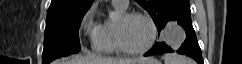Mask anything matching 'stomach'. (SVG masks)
Listing matches in <instances>:
<instances>
[{
  "label": "stomach",
  "instance_id": "stomach-1",
  "mask_svg": "<svg viewBox=\"0 0 242 64\" xmlns=\"http://www.w3.org/2000/svg\"><path fill=\"white\" fill-rule=\"evenodd\" d=\"M150 61L148 63H144V64H159V62L153 58H149Z\"/></svg>",
  "mask_w": 242,
  "mask_h": 64
}]
</instances>
